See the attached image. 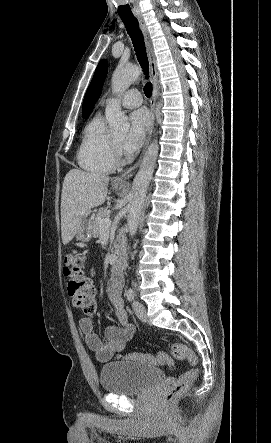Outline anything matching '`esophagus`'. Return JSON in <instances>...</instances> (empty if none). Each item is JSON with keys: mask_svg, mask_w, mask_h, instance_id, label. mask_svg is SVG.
Instances as JSON below:
<instances>
[{"mask_svg": "<svg viewBox=\"0 0 271 443\" xmlns=\"http://www.w3.org/2000/svg\"><path fill=\"white\" fill-rule=\"evenodd\" d=\"M135 17L139 22V26H140V29L142 31V34H143V37L145 40V47H146V52H147V56H148V60H149V67H150V78H151V82L153 85L152 97L150 100V120H149V127H148V137H147L145 147L143 150V151H145L146 147L148 146V144L150 142L153 127H154L156 99L158 97V66H157V60H156V56H155L154 49H153L152 40L150 38L149 30H148V27L145 23L143 15H135ZM141 158L142 157H140L139 160L132 167H130L128 170L123 172L121 175L113 178L112 182L115 184H120V185H129V180L136 173L137 168L139 167Z\"/></svg>", "mask_w": 271, "mask_h": 443, "instance_id": "obj_1", "label": "esophagus"}]
</instances>
